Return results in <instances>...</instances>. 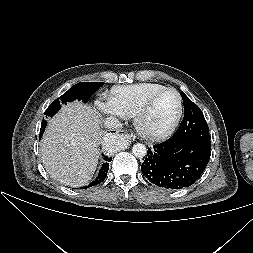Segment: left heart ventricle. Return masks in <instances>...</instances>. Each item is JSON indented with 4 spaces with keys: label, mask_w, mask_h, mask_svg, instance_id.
Segmentation results:
<instances>
[{
    "label": "left heart ventricle",
    "mask_w": 253,
    "mask_h": 253,
    "mask_svg": "<svg viewBox=\"0 0 253 253\" xmlns=\"http://www.w3.org/2000/svg\"><path fill=\"white\" fill-rule=\"evenodd\" d=\"M177 113V98L173 92H165L155 99L142 119L148 132H159L173 121Z\"/></svg>",
    "instance_id": "b2bd125f"
}]
</instances>
